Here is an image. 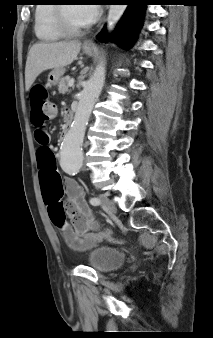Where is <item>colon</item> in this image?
Wrapping results in <instances>:
<instances>
[{"label": "colon", "instance_id": "colon-1", "mask_svg": "<svg viewBox=\"0 0 213 338\" xmlns=\"http://www.w3.org/2000/svg\"><path fill=\"white\" fill-rule=\"evenodd\" d=\"M48 90L44 85H36L30 91L31 113L30 121L36 128L34 136L40 145L39 158H44L50 152L48 144L52 140V133L45 127V123L50 121L56 114V106L48 99ZM50 215L56 224L64 222V207L61 203H55L50 208ZM103 236L109 241H121L111 233L104 232Z\"/></svg>", "mask_w": 213, "mask_h": 338}]
</instances>
